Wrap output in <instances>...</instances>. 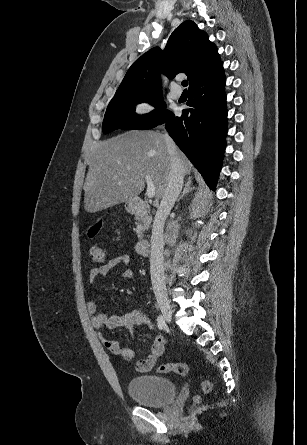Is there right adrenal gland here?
<instances>
[{
    "label": "right adrenal gland",
    "instance_id": "1",
    "mask_svg": "<svg viewBox=\"0 0 307 445\" xmlns=\"http://www.w3.org/2000/svg\"><path fill=\"white\" fill-rule=\"evenodd\" d=\"M192 176H188L187 178V182H185V186L183 188V192L182 194H180L179 198H177V202H179V200H181V198H183L184 194H186V192H190V190H194V188H196V186H192Z\"/></svg>",
    "mask_w": 307,
    "mask_h": 445
}]
</instances>
